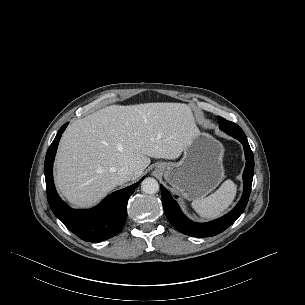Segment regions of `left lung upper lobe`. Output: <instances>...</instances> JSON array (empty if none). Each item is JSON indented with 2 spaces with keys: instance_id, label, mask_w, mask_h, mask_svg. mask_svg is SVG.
I'll return each mask as SVG.
<instances>
[{
  "instance_id": "obj_1",
  "label": "left lung upper lobe",
  "mask_w": 305,
  "mask_h": 305,
  "mask_svg": "<svg viewBox=\"0 0 305 305\" xmlns=\"http://www.w3.org/2000/svg\"><path fill=\"white\" fill-rule=\"evenodd\" d=\"M220 128L224 132L233 136H245L243 130L235 123L225 120L222 117H219Z\"/></svg>"
}]
</instances>
